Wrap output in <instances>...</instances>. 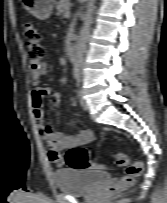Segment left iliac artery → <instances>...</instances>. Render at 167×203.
I'll return each instance as SVG.
<instances>
[{"label": "left iliac artery", "instance_id": "left-iliac-artery-1", "mask_svg": "<svg viewBox=\"0 0 167 203\" xmlns=\"http://www.w3.org/2000/svg\"><path fill=\"white\" fill-rule=\"evenodd\" d=\"M78 82H80V77L77 78Z\"/></svg>", "mask_w": 167, "mask_h": 203}]
</instances>
